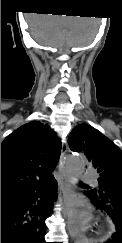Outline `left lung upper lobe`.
I'll use <instances>...</instances> for the list:
<instances>
[{
	"label": "left lung upper lobe",
	"instance_id": "5c2ea615",
	"mask_svg": "<svg viewBox=\"0 0 122 243\" xmlns=\"http://www.w3.org/2000/svg\"><path fill=\"white\" fill-rule=\"evenodd\" d=\"M69 147L73 152H82L100 174L98 188L91 189L99 197H111L103 183L113 178H122V151L100 131L87 124L77 125L69 135ZM112 217L122 220V201L116 202Z\"/></svg>",
	"mask_w": 122,
	"mask_h": 243
}]
</instances>
